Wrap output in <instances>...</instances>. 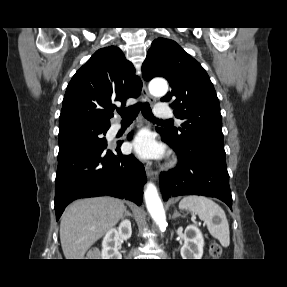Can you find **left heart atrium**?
<instances>
[{"label": "left heart atrium", "mask_w": 287, "mask_h": 287, "mask_svg": "<svg viewBox=\"0 0 287 287\" xmlns=\"http://www.w3.org/2000/svg\"><path fill=\"white\" fill-rule=\"evenodd\" d=\"M134 152L144 159L158 158L163 154V147L159 145L150 132H140L132 141Z\"/></svg>", "instance_id": "obj_1"}]
</instances>
